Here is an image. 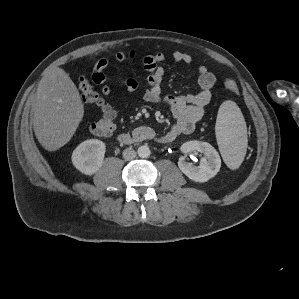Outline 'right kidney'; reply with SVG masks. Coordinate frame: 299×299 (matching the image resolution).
Returning a JSON list of instances; mask_svg holds the SVG:
<instances>
[{"instance_id":"obj_1","label":"right kidney","mask_w":299,"mask_h":299,"mask_svg":"<svg viewBox=\"0 0 299 299\" xmlns=\"http://www.w3.org/2000/svg\"><path fill=\"white\" fill-rule=\"evenodd\" d=\"M106 146L98 139L82 142L72 153L74 167L84 175H93L102 166Z\"/></svg>"}]
</instances>
